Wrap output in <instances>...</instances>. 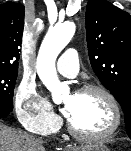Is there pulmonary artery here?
Here are the masks:
<instances>
[{"instance_id":"e3ab8cb5","label":"pulmonary artery","mask_w":131,"mask_h":151,"mask_svg":"<svg viewBox=\"0 0 131 151\" xmlns=\"http://www.w3.org/2000/svg\"><path fill=\"white\" fill-rule=\"evenodd\" d=\"M57 70L66 77H74L79 71L77 51L73 48L66 50L57 61Z\"/></svg>"}]
</instances>
